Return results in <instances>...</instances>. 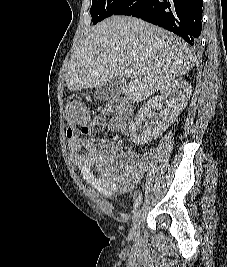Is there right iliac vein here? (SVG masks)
<instances>
[{"label": "right iliac vein", "instance_id": "right-iliac-vein-1", "mask_svg": "<svg viewBox=\"0 0 227 267\" xmlns=\"http://www.w3.org/2000/svg\"><path fill=\"white\" fill-rule=\"evenodd\" d=\"M140 221H141V211L138 210L134 214L132 225H131V229L129 231V237L131 239H135V238H137L139 236Z\"/></svg>", "mask_w": 227, "mask_h": 267}]
</instances>
